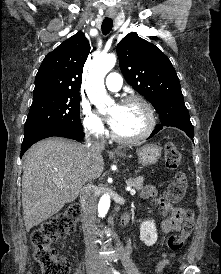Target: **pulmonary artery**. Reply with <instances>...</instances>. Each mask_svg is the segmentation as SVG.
Masks as SVG:
<instances>
[{"mask_svg": "<svg viewBox=\"0 0 221 274\" xmlns=\"http://www.w3.org/2000/svg\"><path fill=\"white\" fill-rule=\"evenodd\" d=\"M106 86L110 91H118L122 86V78L118 73L112 72L106 77Z\"/></svg>", "mask_w": 221, "mask_h": 274, "instance_id": "e3ab8cb5", "label": "pulmonary artery"}]
</instances>
